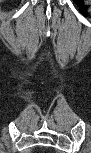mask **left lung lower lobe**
Segmentation results:
<instances>
[{
    "label": "left lung lower lobe",
    "mask_w": 91,
    "mask_h": 153,
    "mask_svg": "<svg viewBox=\"0 0 91 153\" xmlns=\"http://www.w3.org/2000/svg\"><path fill=\"white\" fill-rule=\"evenodd\" d=\"M75 3H77L80 8H82V0H74Z\"/></svg>",
    "instance_id": "left-lung-lower-lobe-1"
}]
</instances>
